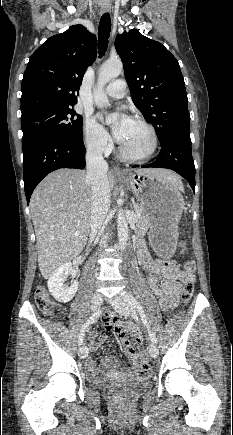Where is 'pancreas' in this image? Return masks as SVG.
<instances>
[{
  "label": "pancreas",
  "instance_id": "1",
  "mask_svg": "<svg viewBox=\"0 0 233 435\" xmlns=\"http://www.w3.org/2000/svg\"><path fill=\"white\" fill-rule=\"evenodd\" d=\"M135 212L139 213V217L137 218L136 221V230L135 233L142 237L146 234L148 227H149V223L147 221L144 209L141 205H137L135 207Z\"/></svg>",
  "mask_w": 233,
  "mask_h": 435
}]
</instances>
